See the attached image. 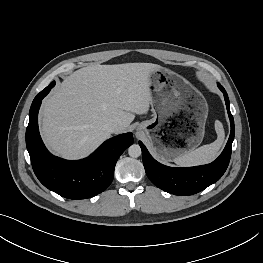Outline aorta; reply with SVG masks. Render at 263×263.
Returning <instances> with one entry per match:
<instances>
[{
  "label": "aorta",
  "instance_id": "obj_1",
  "mask_svg": "<svg viewBox=\"0 0 263 263\" xmlns=\"http://www.w3.org/2000/svg\"><path fill=\"white\" fill-rule=\"evenodd\" d=\"M128 154L130 157L132 158H137L141 155V148L138 144H132L129 148H128Z\"/></svg>",
  "mask_w": 263,
  "mask_h": 263
}]
</instances>
